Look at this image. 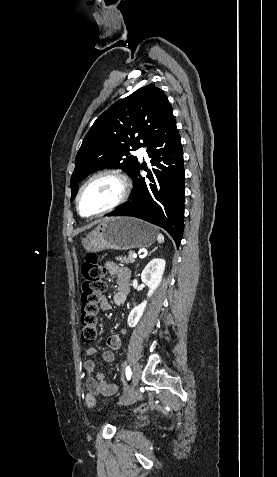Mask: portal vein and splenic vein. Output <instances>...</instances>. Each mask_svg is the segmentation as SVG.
Segmentation results:
<instances>
[{
  "label": "portal vein and splenic vein",
  "mask_w": 277,
  "mask_h": 477,
  "mask_svg": "<svg viewBox=\"0 0 277 477\" xmlns=\"http://www.w3.org/2000/svg\"><path fill=\"white\" fill-rule=\"evenodd\" d=\"M132 256H133L134 258H137L138 255H137V253H133Z\"/></svg>",
  "instance_id": "obj_1"
}]
</instances>
